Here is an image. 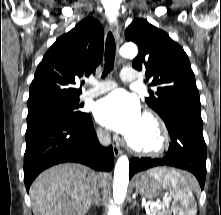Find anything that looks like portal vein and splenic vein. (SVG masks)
<instances>
[{
    "label": "portal vein and splenic vein",
    "instance_id": "obj_1",
    "mask_svg": "<svg viewBox=\"0 0 221 215\" xmlns=\"http://www.w3.org/2000/svg\"><path fill=\"white\" fill-rule=\"evenodd\" d=\"M169 202L167 200H165L163 203H160L157 205L158 208H160L161 206H168ZM153 206H150V210L149 212H151L153 210ZM173 211H175V209H173Z\"/></svg>",
    "mask_w": 221,
    "mask_h": 215
}]
</instances>
